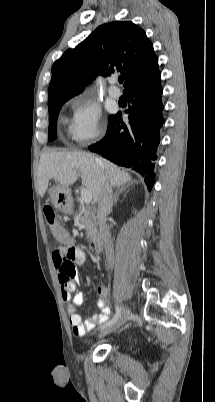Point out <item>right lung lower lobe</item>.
<instances>
[{"mask_svg":"<svg viewBox=\"0 0 215 402\" xmlns=\"http://www.w3.org/2000/svg\"><path fill=\"white\" fill-rule=\"evenodd\" d=\"M162 92L160 76L128 90L131 105L126 113L129 114V122L122 121L121 112L110 116L105 137L89 147L110 161L131 167L145 176L149 190L154 183L153 169L160 128L165 123Z\"/></svg>","mask_w":215,"mask_h":402,"instance_id":"98d812e1","label":"right lung lower lobe"}]
</instances>
